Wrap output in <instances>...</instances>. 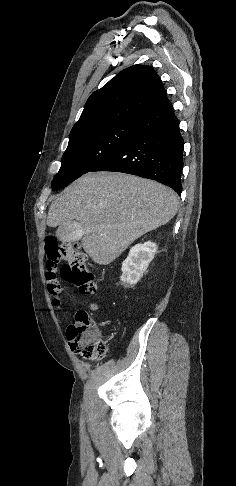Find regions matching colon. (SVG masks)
<instances>
[{
	"label": "colon",
	"mask_w": 236,
	"mask_h": 486,
	"mask_svg": "<svg viewBox=\"0 0 236 486\" xmlns=\"http://www.w3.org/2000/svg\"><path fill=\"white\" fill-rule=\"evenodd\" d=\"M46 280L47 288L53 296L54 305H59V294L63 289L57 272L59 265L61 278L76 287L80 293L88 295L95 292V277L90 269L86 254L78 244H60L54 238L46 241ZM71 349L87 360H98L106 351L101 331L93 323L86 311L77 312L67 330Z\"/></svg>",
	"instance_id": "colon-1"
}]
</instances>
